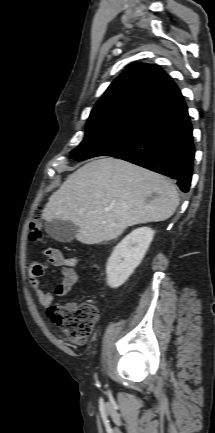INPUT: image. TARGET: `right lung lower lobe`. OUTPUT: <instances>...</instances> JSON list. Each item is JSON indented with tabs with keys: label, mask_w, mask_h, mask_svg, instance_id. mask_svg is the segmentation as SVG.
Masks as SVG:
<instances>
[{
	"label": "right lung lower lobe",
	"mask_w": 215,
	"mask_h": 433,
	"mask_svg": "<svg viewBox=\"0 0 215 433\" xmlns=\"http://www.w3.org/2000/svg\"><path fill=\"white\" fill-rule=\"evenodd\" d=\"M194 152L192 125L180 94L148 115L132 141L108 156L175 179L180 189L188 192Z\"/></svg>",
	"instance_id": "98d812e1"
}]
</instances>
